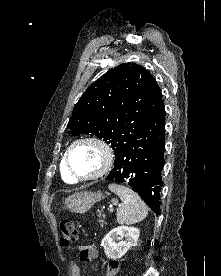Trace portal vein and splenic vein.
Here are the masks:
<instances>
[{
	"label": "portal vein and splenic vein",
	"instance_id": "18ae733b",
	"mask_svg": "<svg viewBox=\"0 0 221 276\" xmlns=\"http://www.w3.org/2000/svg\"><path fill=\"white\" fill-rule=\"evenodd\" d=\"M109 211H110V212H112V211H113L112 206H110Z\"/></svg>",
	"mask_w": 221,
	"mask_h": 276
}]
</instances>
